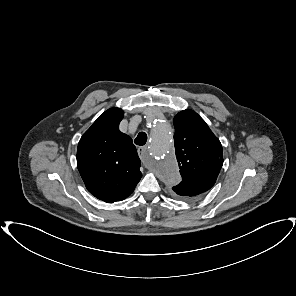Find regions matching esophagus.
Returning a JSON list of instances; mask_svg holds the SVG:
<instances>
[{
	"label": "esophagus",
	"instance_id": "1",
	"mask_svg": "<svg viewBox=\"0 0 296 296\" xmlns=\"http://www.w3.org/2000/svg\"><path fill=\"white\" fill-rule=\"evenodd\" d=\"M137 151H138V154H139L140 158H143L147 153V147L140 146V147L137 148Z\"/></svg>",
	"mask_w": 296,
	"mask_h": 296
}]
</instances>
